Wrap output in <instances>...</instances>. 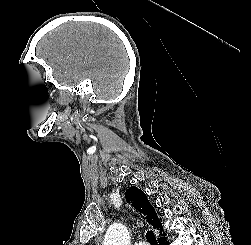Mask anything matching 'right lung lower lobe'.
<instances>
[{"label": "right lung lower lobe", "mask_w": 251, "mask_h": 245, "mask_svg": "<svg viewBox=\"0 0 251 245\" xmlns=\"http://www.w3.org/2000/svg\"><path fill=\"white\" fill-rule=\"evenodd\" d=\"M159 244L160 245H168V240L165 237V234H163L162 236H160V238L158 239Z\"/></svg>", "instance_id": "98d812e1"}]
</instances>
